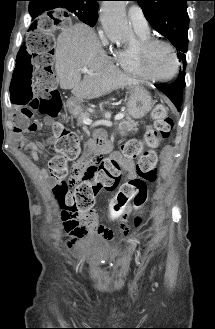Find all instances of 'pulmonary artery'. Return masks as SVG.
<instances>
[{
	"label": "pulmonary artery",
	"instance_id": "obj_1",
	"mask_svg": "<svg viewBox=\"0 0 215 329\" xmlns=\"http://www.w3.org/2000/svg\"><path fill=\"white\" fill-rule=\"evenodd\" d=\"M128 18L137 33L149 34L148 22L140 6L132 5L128 10Z\"/></svg>",
	"mask_w": 215,
	"mask_h": 329
}]
</instances>
